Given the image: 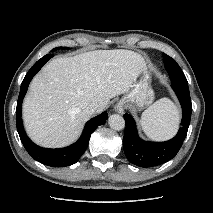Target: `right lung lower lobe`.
<instances>
[{"label": "right lung lower lobe", "mask_w": 213, "mask_h": 213, "mask_svg": "<svg viewBox=\"0 0 213 213\" xmlns=\"http://www.w3.org/2000/svg\"><path fill=\"white\" fill-rule=\"evenodd\" d=\"M52 57H53L52 54H47L41 59H39L28 71L24 80L22 81L16 108V125L20 139L31 157L47 166L65 167L74 164L79 160L81 155L87 149L91 134L99 125H103L106 122L108 114L107 112H103L99 116L89 120L86 123L83 133L79 138V140L66 148L61 149L41 148L29 140V138L26 136L24 132L21 119L22 101L27 92L28 85L31 79L42 68V66Z\"/></svg>", "instance_id": "1"}]
</instances>
